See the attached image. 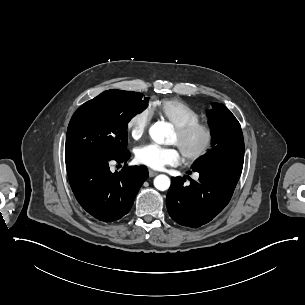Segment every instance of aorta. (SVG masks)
<instances>
[{"label": "aorta", "mask_w": 305, "mask_h": 305, "mask_svg": "<svg viewBox=\"0 0 305 305\" xmlns=\"http://www.w3.org/2000/svg\"><path fill=\"white\" fill-rule=\"evenodd\" d=\"M171 127L166 122H156L149 129V135L158 144H164L171 135ZM154 186L160 191H165L170 187V179L164 174H160L154 179Z\"/></svg>", "instance_id": "aorta-1"}]
</instances>
